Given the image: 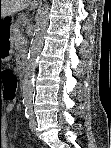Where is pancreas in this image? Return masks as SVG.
Masks as SVG:
<instances>
[{
    "label": "pancreas",
    "mask_w": 111,
    "mask_h": 148,
    "mask_svg": "<svg viewBox=\"0 0 111 148\" xmlns=\"http://www.w3.org/2000/svg\"><path fill=\"white\" fill-rule=\"evenodd\" d=\"M17 29H18V26H16V28L13 29V34H14V37H15V45L18 48H21L22 45H23L21 43V41H23V38H22V35L19 33V31Z\"/></svg>",
    "instance_id": "obj_1"
}]
</instances>
